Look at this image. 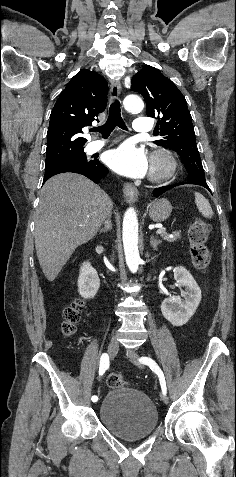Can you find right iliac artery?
Masks as SVG:
<instances>
[{
    "mask_svg": "<svg viewBox=\"0 0 236 477\" xmlns=\"http://www.w3.org/2000/svg\"><path fill=\"white\" fill-rule=\"evenodd\" d=\"M109 368V356L104 353L102 354L100 358V367H99V375L102 376L105 371ZM93 404H98V397L97 396H92L91 398Z\"/></svg>",
    "mask_w": 236,
    "mask_h": 477,
    "instance_id": "82829eb1",
    "label": "right iliac artery"
}]
</instances>
